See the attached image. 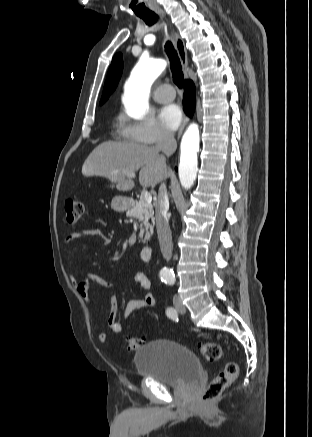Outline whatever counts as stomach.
<instances>
[{"label":"stomach","mask_w":312,"mask_h":437,"mask_svg":"<svg viewBox=\"0 0 312 437\" xmlns=\"http://www.w3.org/2000/svg\"><path fill=\"white\" fill-rule=\"evenodd\" d=\"M130 201L124 196H116L111 201V208L116 212H124L129 208Z\"/></svg>","instance_id":"0dacf381"}]
</instances>
